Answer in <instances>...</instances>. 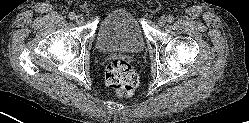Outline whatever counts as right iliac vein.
<instances>
[{"instance_id": "1", "label": "right iliac vein", "mask_w": 249, "mask_h": 123, "mask_svg": "<svg viewBox=\"0 0 249 123\" xmlns=\"http://www.w3.org/2000/svg\"><path fill=\"white\" fill-rule=\"evenodd\" d=\"M75 20H76V22H77L78 24H81V23H83L84 18H83L82 15H78V16H76Z\"/></svg>"}]
</instances>
